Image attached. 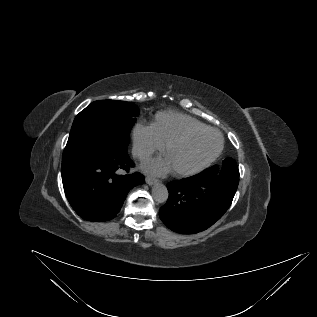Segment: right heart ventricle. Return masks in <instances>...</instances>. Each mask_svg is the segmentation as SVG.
I'll return each mask as SVG.
<instances>
[{
    "mask_svg": "<svg viewBox=\"0 0 317 317\" xmlns=\"http://www.w3.org/2000/svg\"><path fill=\"white\" fill-rule=\"evenodd\" d=\"M202 127L205 125L200 121L176 111L157 112L151 122V128L163 146L188 129Z\"/></svg>",
    "mask_w": 317,
    "mask_h": 317,
    "instance_id": "right-heart-ventricle-1",
    "label": "right heart ventricle"
}]
</instances>
